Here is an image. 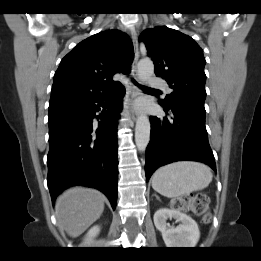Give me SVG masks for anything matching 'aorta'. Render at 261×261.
I'll list each match as a JSON object with an SVG mask.
<instances>
[{"label":"aorta","instance_id":"obj_1","mask_svg":"<svg viewBox=\"0 0 261 261\" xmlns=\"http://www.w3.org/2000/svg\"><path fill=\"white\" fill-rule=\"evenodd\" d=\"M154 73L153 62L149 58L138 63V78L141 82L148 80ZM150 121L145 114H140L136 120L135 143L140 151H144L150 141Z\"/></svg>","mask_w":261,"mask_h":261}]
</instances>
